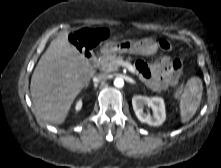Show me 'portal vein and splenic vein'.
<instances>
[{"mask_svg": "<svg viewBox=\"0 0 221 168\" xmlns=\"http://www.w3.org/2000/svg\"><path fill=\"white\" fill-rule=\"evenodd\" d=\"M116 64L118 66H124L126 67L130 72H132L133 74L135 73V70L133 68V66L129 63V62H126V61H117Z\"/></svg>", "mask_w": 221, "mask_h": 168, "instance_id": "obj_1", "label": "portal vein and splenic vein"}]
</instances>
